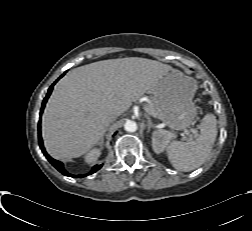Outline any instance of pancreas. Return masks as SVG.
<instances>
[{
    "label": "pancreas",
    "instance_id": "obj_1",
    "mask_svg": "<svg viewBox=\"0 0 252 231\" xmlns=\"http://www.w3.org/2000/svg\"><path fill=\"white\" fill-rule=\"evenodd\" d=\"M148 108L151 109L150 106H148ZM152 111H153V113H154L155 115H157L156 110H155L154 108H153Z\"/></svg>",
    "mask_w": 252,
    "mask_h": 231
}]
</instances>
